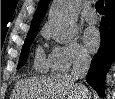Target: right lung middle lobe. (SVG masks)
Segmentation results:
<instances>
[{
  "instance_id": "right-lung-middle-lobe-1",
  "label": "right lung middle lobe",
  "mask_w": 115,
  "mask_h": 99,
  "mask_svg": "<svg viewBox=\"0 0 115 99\" xmlns=\"http://www.w3.org/2000/svg\"><path fill=\"white\" fill-rule=\"evenodd\" d=\"M35 36H36V34L27 35L25 43L22 47V52H21V55L19 58L17 69H19L22 65L25 64L26 59H27V55H28L29 50H30L31 43L34 40Z\"/></svg>"
}]
</instances>
